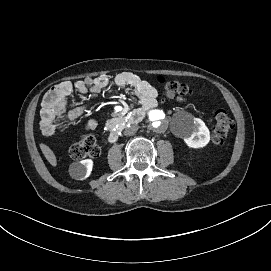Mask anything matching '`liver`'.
I'll use <instances>...</instances> for the list:
<instances>
[{"label":"liver","mask_w":271,"mask_h":271,"mask_svg":"<svg viewBox=\"0 0 271 271\" xmlns=\"http://www.w3.org/2000/svg\"><path fill=\"white\" fill-rule=\"evenodd\" d=\"M40 148L47 161L55 167L57 165V160L53 151L45 144H40Z\"/></svg>","instance_id":"1"}]
</instances>
